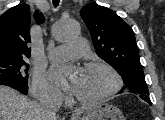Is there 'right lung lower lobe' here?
Wrapping results in <instances>:
<instances>
[{"label":"right lung lower lobe","instance_id":"right-lung-lower-lobe-1","mask_svg":"<svg viewBox=\"0 0 165 120\" xmlns=\"http://www.w3.org/2000/svg\"><path fill=\"white\" fill-rule=\"evenodd\" d=\"M0 85H6L9 87H12L16 90H18L19 92H21L22 94H27L28 93V87H23L19 84H13V83H0Z\"/></svg>","mask_w":165,"mask_h":120}]
</instances>
